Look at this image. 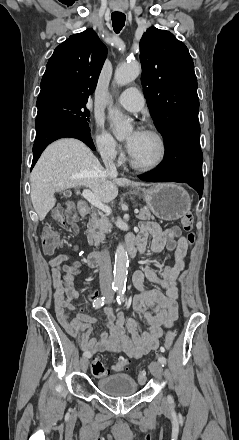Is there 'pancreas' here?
Wrapping results in <instances>:
<instances>
[{
  "mask_svg": "<svg viewBox=\"0 0 239 440\" xmlns=\"http://www.w3.org/2000/svg\"><path fill=\"white\" fill-rule=\"evenodd\" d=\"M136 218H138V220H154V216H151L150 210H148L146 206L141 208L140 214L136 216ZM87 228L86 234L89 246H99L100 242L105 240L106 234H110L113 226L105 214L94 212V214H91Z\"/></svg>",
  "mask_w": 239,
  "mask_h": 440,
  "instance_id": "cf45deb5",
  "label": "pancreas"
}]
</instances>
